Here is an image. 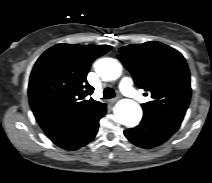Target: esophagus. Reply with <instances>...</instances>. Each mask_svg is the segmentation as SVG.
Masks as SVG:
<instances>
[{
    "mask_svg": "<svg viewBox=\"0 0 212 183\" xmlns=\"http://www.w3.org/2000/svg\"><path fill=\"white\" fill-rule=\"evenodd\" d=\"M120 98H121V96H117V97L111 99L110 102L114 103V102L118 101Z\"/></svg>",
    "mask_w": 212,
    "mask_h": 183,
    "instance_id": "1",
    "label": "esophagus"
}]
</instances>
